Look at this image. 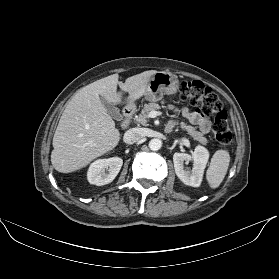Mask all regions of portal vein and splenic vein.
Instances as JSON below:
<instances>
[{"label":"portal vein and splenic vein","instance_id":"18ae733b","mask_svg":"<svg viewBox=\"0 0 279 279\" xmlns=\"http://www.w3.org/2000/svg\"><path fill=\"white\" fill-rule=\"evenodd\" d=\"M157 115H158V112H157V111H151V112L148 114V117H149V118H155Z\"/></svg>","mask_w":279,"mask_h":279}]
</instances>
